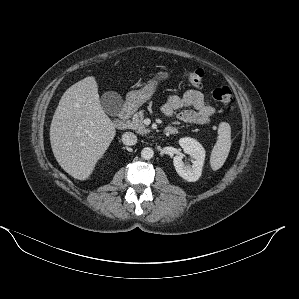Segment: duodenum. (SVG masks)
Instances as JSON below:
<instances>
[{
	"instance_id": "duodenum-1",
	"label": "duodenum",
	"mask_w": 299,
	"mask_h": 299,
	"mask_svg": "<svg viewBox=\"0 0 299 299\" xmlns=\"http://www.w3.org/2000/svg\"><path fill=\"white\" fill-rule=\"evenodd\" d=\"M131 108L130 107H126L123 109L122 113H121V116L120 118H118L116 121H115V126L118 128V129H126L127 128V125H128V119L131 115ZM177 133V130L173 127H166L164 130H163V134L164 135H174Z\"/></svg>"
}]
</instances>
